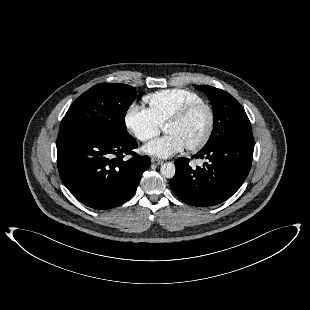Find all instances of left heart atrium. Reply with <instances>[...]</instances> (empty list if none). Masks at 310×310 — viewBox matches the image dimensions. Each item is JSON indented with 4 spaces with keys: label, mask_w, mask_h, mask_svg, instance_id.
<instances>
[{
    "label": "left heart atrium",
    "mask_w": 310,
    "mask_h": 310,
    "mask_svg": "<svg viewBox=\"0 0 310 310\" xmlns=\"http://www.w3.org/2000/svg\"><path fill=\"white\" fill-rule=\"evenodd\" d=\"M184 148L182 141L174 134L156 138L143 147V152L158 158H168Z\"/></svg>",
    "instance_id": "1"
}]
</instances>
